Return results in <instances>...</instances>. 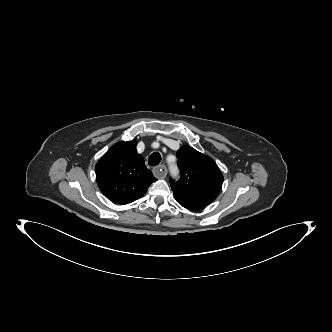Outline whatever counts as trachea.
Segmentation results:
<instances>
[{"instance_id":"1","label":"trachea","mask_w":332,"mask_h":332,"mask_svg":"<svg viewBox=\"0 0 332 332\" xmlns=\"http://www.w3.org/2000/svg\"><path fill=\"white\" fill-rule=\"evenodd\" d=\"M161 161V155L158 152H154L150 155L148 159V164L150 166H156L160 163Z\"/></svg>"}]
</instances>
